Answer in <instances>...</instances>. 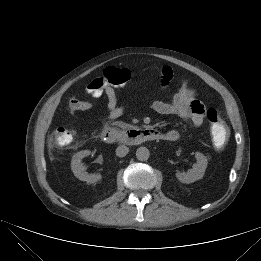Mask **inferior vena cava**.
<instances>
[{
	"instance_id": "1",
	"label": "inferior vena cava",
	"mask_w": 261,
	"mask_h": 261,
	"mask_svg": "<svg viewBox=\"0 0 261 261\" xmlns=\"http://www.w3.org/2000/svg\"><path fill=\"white\" fill-rule=\"evenodd\" d=\"M128 152H129V148L125 145H120L116 149V155L118 157H124L128 154Z\"/></svg>"
}]
</instances>
